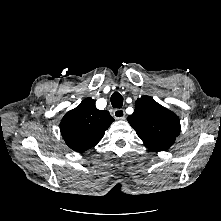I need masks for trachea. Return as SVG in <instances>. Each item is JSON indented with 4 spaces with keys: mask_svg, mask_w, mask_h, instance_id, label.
Masks as SVG:
<instances>
[{
    "mask_svg": "<svg viewBox=\"0 0 221 221\" xmlns=\"http://www.w3.org/2000/svg\"><path fill=\"white\" fill-rule=\"evenodd\" d=\"M111 104L114 108H121L123 106V97L119 92H114L111 95Z\"/></svg>",
    "mask_w": 221,
    "mask_h": 221,
    "instance_id": "obj_1",
    "label": "trachea"
}]
</instances>
